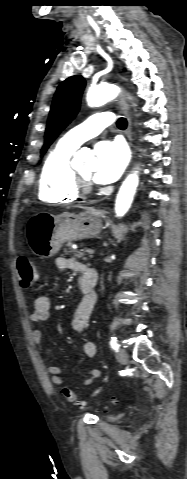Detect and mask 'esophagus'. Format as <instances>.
<instances>
[{
  "label": "esophagus",
  "mask_w": 187,
  "mask_h": 479,
  "mask_svg": "<svg viewBox=\"0 0 187 479\" xmlns=\"http://www.w3.org/2000/svg\"><path fill=\"white\" fill-rule=\"evenodd\" d=\"M119 103H120L121 109L123 110L124 114L127 117L128 126H127V130H126V136H127L128 141H129V145L132 149L133 148V144H132V121H131L130 109H129V106L126 103L123 96L120 97Z\"/></svg>",
  "instance_id": "34e87169"
}]
</instances>
